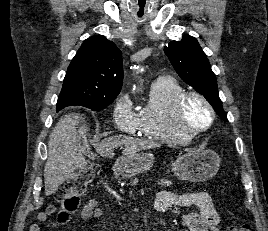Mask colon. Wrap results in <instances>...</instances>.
<instances>
[{
  "mask_svg": "<svg viewBox=\"0 0 268 231\" xmlns=\"http://www.w3.org/2000/svg\"><path fill=\"white\" fill-rule=\"evenodd\" d=\"M95 173V168L89 166L77 172L63 187L55 194L56 201L60 204L57 209L55 206L48 208V213L55 214L57 223L63 224L69 220L71 215L78 209L81 197L85 194ZM231 231H252L250 224H238L231 227Z\"/></svg>",
  "mask_w": 268,
  "mask_h": 231,
  "instance_id": "1",
  "label": "colon"
}]
</instances>
